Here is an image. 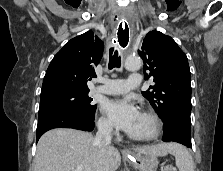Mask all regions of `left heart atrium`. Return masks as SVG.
<instances>
[{"mask_svg":"<svg viewBox=\"0 0 223 171\" xmlns=\"http://www.w3.org/2000/svg\"><path fill=\"white\" fill-rule=\"evenodd\" d=\"M102 109L118 129L127 133L134 127L140 115L138 108L128 98L106 101Z\"/></svg>","mask_w":223,"mask_h":171,"instance_id":"left-heart-atrium-1","label":"left heart atrium"}]
</instances>
